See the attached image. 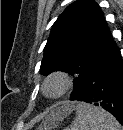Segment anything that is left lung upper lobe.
<instances>
[{
	"mask_svg": "<svg viewBox=\"0 0 123 130\" xmlns=\"http://www.w3.org/2000/svg\"><path fill=\"white\" fill-rule=\"evenodd\" d=\"M113 43L99 5L93 0H77L53 24L40 71L43 75L53 71L75 75L70 100H76L95 61Z\"/></svg>",
	"mask_w": 123,
	"mask_h": 130,
	"instance_id": "left-lung-upper-lobe-1",
	"label": "left lung upper lobe"
}]
</instances>
